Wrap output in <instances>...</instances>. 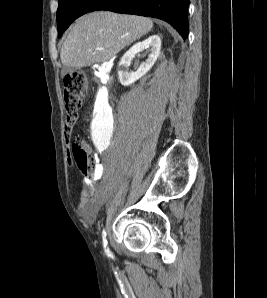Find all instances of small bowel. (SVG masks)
<instances>
[{
	"instance_id": "c3829d8e",
	"label": "small bowel",
	"mask_w": 267,
	"mask_h": 298,
	"mask_svg": "<svg viewBox=\"0 0 267 298\" xmlns=\"http://www.w3.org/2000/svg\"><path fill=\"white\" fill-rule=\"evenodd\" d=\"M67 134V133H66ZM69 134H67L68 136ZM108 194L100 192L92 185H85L81 190L78 210L83 218L93 221L97 210L107 200Z\"/></svg>"
}]
</instances>
